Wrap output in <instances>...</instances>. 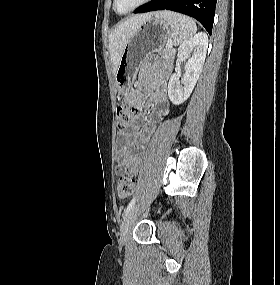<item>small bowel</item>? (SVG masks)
<instances>
[{"label": "small bowel", "mask_w": 280, "mask_h": 285, "mask_svg": "<svg viewBox=\"0 0 280 285\" xmlns=\"http://www.w3.org/2000/svg\"><path fill=\"white\" fill-rule=\"evenodd\" d=\"M158 62L157 59H155ZM143 78L137 88L125 96V102L134 105L138 111L143 112L150 104L161 105V110L157 113V118L164 117L169 111L167 85L171 76L169 66L156 72L154 66L149 64L143 70ZM156 127V122L151 120L145 124L141 134L136 132H120L117 142L118 164L116 172L118 174L127 173L132 178L137 175L140 166V158L133 153L132 145L134 143L142 144L146 136L150 135Z\"/></svg>", "instance_id": "small-bowel-1"}]
</instances>
